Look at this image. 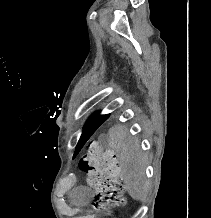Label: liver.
Wrapping results in <instances>:
<instances>
[{
  "label": "liver",
  "instance_id": "6515ba94",
  "mask_svg": "<svg viewBox=\"0 0 211 218\" xmlns=\"http://www.w3.org/2000/svg\"><path fill=\"white\" fill-rule=\"evenodd\" d=\"M109 146L115 150L121 168L124 188L134 200H143L147 192L144 180L145 158L140 152L137 138H130L125 126H112L109 132Z\"/></svg>",
  "mask_w": 211,
  "mask_h": 218
}]
</instances>
